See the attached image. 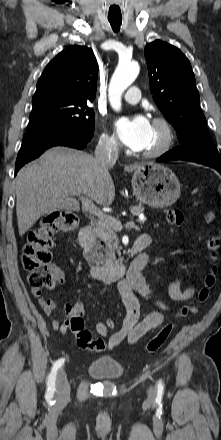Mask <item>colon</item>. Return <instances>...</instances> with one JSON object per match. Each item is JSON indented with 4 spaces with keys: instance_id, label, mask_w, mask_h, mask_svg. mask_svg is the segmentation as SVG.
<instances>
[{
    "instance_id": "1",
    "label": "colon",
    "mask_w": 221,
    "mask_h": 440,
    "mask_svg": "<svg viewBox=\"0 0 221 440\" xmlns=\"http://www.w3.org/2000/svg\"><path fill=\"white\" fill-rule=\"evenodd\" d=\"M168 224L181 226L184 222V214L176 208H170L165 213ZM206 221L211 223L215 220L213 213H207ZM78 217L71 212L56 211L47 214L41 221L39 227L29 232L27 242L23 248L22 265L28 272L29 285L36 290L52 289L57 274L49 267L52 259L53 237L60 232H69L78 226ZM207 248L210 258L215 261L220 248V240L217 236H210L207 240ZM217 268L213 265L206 274L201 288L198 290L196 299L204 302L208 299L210 291L215 285ZM189 306H183L175 315L174 320L167 322L160 331L150 339L144 346L146 352L152 353L160 349L169 339L174 321L177 318L187 315ZM105 327L114 329L116 321L111 316L103 318ZM70 329L75 336L76 344L81 349L101 352L105 350L106 343L103 339L93 338L92 333L86 329L84 320V306L77 303L74 306L70 317Z\"/></svg>"
}]
</instances>
